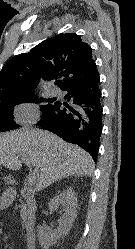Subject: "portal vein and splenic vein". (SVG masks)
I'll use <instances>...</instances> for the list:
<instances>
[{
    "instance_id": "obj_1",
    "label": "portal vein and splenic vein",
    "mask_w": 135,
    "mask_h": 249,
    "mask_svg": "<svg viewBox=\"0 0 135 249\" xmlns=\"http://www.w3.org/2000/svg\"><path fill=\"white\" fill-rule=\"evenodd\" d=\"M23 162L27 165V166H31V161L27 158V157H23L22 158ZM35 174H36V170L35 171H31L28 178H27V183L29 185H33L35 182Z\"/></svg>"
}]
</instances>
